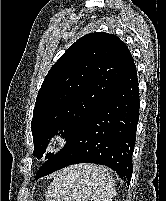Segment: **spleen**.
I'll use <instances>...</instances> for the list:
<instances>
[{"mask_svg":"<svg viewBox=\"0 0 166 201\" xmlns=\"http://www.w3.org/2000/svg\"><path fill=\"white\" fill-rule=\"evenodd\" d=\"M114 181L101 166L78 164L59 171L46 193V201H112Z\"/></svg>","mask_w":166,"mask_h":201,"instance_id":"obj_1","label":"spleen"}]
</instances>
